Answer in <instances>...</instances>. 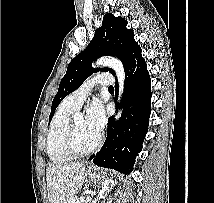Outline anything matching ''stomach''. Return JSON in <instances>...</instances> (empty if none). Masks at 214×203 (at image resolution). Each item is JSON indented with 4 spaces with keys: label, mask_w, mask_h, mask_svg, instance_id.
<instances>
[{
    "label": "stomach",
    "mask_w": 214,
    "mask_h": 203,
    "mask_svg": "<svg viewBox=\"0 0 214 203\" xmlns=\"http://www.w3.org/2000/svg\"><path fill=\"white\" fill-rule=\"evenodd\" d=\"M84 178L89 181L97 180L99 178H104L105 180L110 181L106 173L101 174L96 168L93 167H89L87 170H85Z\"/></svg>",
    "instance_id": "obj_1"
}]
</instances>
